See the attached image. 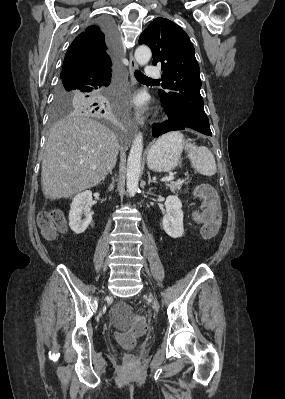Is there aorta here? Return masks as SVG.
<instances>
[{
  "label": "aorta",
  "mask_w": 285,
  "mask_h": 399,
  "mask_svg": "<svg viewBox=\"0 0 285 399\" xmlns=\"http://www.w3.org/2000/svg\"><path fill=\"white\" fill-rule=\"evenodd\" d=\"M134 56L136 62L139 65L143 66L150 61L152 53L148 46L141 45L136 49ZM142 152H143V136L142 133L139 132L135 136L127 160L126 185H127V191L130 196H134L138 190V183L141 173Z\"/></svg>",
  "instance_id": "1"
}]
</instances>
